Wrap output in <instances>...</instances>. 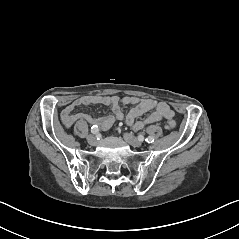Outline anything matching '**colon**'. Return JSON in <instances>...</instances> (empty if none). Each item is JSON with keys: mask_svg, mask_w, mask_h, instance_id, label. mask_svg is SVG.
I'll use <instances>...</instances> for the list:
<instances>
[{"mask_svg": "<svg viewBox=\"0 0 239 239\" xmlns=\"http://www.w3.org/2000/svg\"><path fill=\"white\" fill-rule=\"evenodd\" d=\"M166 128L169 130H173L176 127V122L174 120H169L165 124Z\"/></svg>", "mask_w": 239, "mask_h": 239, "instance_id": "colon-1", "label": "colon"}]
</instances>
